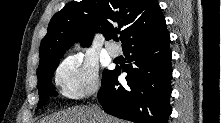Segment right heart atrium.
<instances>
[{
	"label": "right heart atrium",
	"mask_w": 221,
	"mask_h": 123,
	"mask_svg": "<svg viewBox=\"0 0 221 123\" xmlns=\"http://www.w3.org/2000/svg\"><path fill=\"white\" fill-rule=\"evenodd\" d=\"M54 79L62 96L70 100L88 98L100 87L97 66L79 56L64 59L57 67Z\"/></svg>",
	"instance_id": "right-heart-atrium-1"
}]
</instances>
